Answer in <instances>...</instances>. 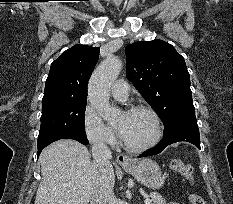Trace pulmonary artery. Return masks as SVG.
I'll use <instances>...</instances> for the list:
<instances>
[{
    "label": "pulmonary artery",
    "instance_id": "obj_1",
    "mask_svg": "<svg viewBox=\"0 0 233 204\" xmlns=\"http://www.w3.org/2000/svg\"><path fill=\"white\" fill-rule=\"evenodd\" d=\"M111 93L115 99L125 101L129 95L128 83L122 79L115 81L112 85Z\"/></svg>",
    "mask_w": 233,
    "mask_h": 204
}]
</instances>
